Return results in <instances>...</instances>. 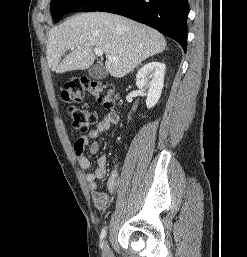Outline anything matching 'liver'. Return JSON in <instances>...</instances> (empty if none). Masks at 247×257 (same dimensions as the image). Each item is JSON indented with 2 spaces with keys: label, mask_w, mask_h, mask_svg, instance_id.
Instances as JSON below:
<instances>
[{
  "label": "liver",
  "mask_w": 247,
  "mask_h": 257,
  "mask_svg": "<svg viewBox=\"0 0 247 257\" xmlns=\"http://www.w3.org/2000/svg\"><path fill=\"white\" fill-rule=\"evenodd\" d=\"M164 36L146 25L110 13L74 15L49 32L46 54L56 73L85 70L95 60L93 48L117 61L105 62L111 76L121 78L145 59L163 52ZM67 50L71 52L64 57Z\"/></svg>",
  "instance_id": "6515ba94"
}]
</instances>
